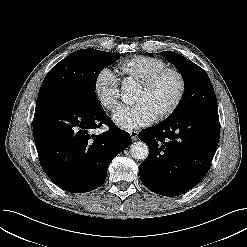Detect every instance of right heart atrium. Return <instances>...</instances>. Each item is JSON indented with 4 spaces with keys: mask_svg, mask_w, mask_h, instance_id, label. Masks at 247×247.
Returning a JSON list of instances; mask_svg holds the SVG:
<instances>
[{
    "mask_svg": "<svg viewBox=\"0 0 247 247\" xmlns=\"http://www.w3.org/2000/svg\"><path fill=\"white\" fill-rule=\"evenodd\" d=\"M93 91L98 102L107 110L115 109L120 103L119 80L108 68L97 73Z\"/></svg>",
    "mask_w": 247,
    "mask_h": 247,
    "instance_id": "1",
    "label": "right heart atrium"
}]
</instances>
